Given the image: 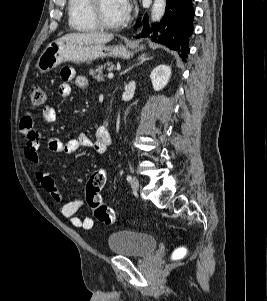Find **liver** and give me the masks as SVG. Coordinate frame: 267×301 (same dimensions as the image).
Instances as JSON below:
<instances>
[{"label": "liver", "instance_id": "1", "mask_svg": "<svg viewBox=\"0 0 267 301\" xmlns=\"http://www.w3.org/2000/svg\"><path fill=\"white\" fill-rule=\"evenodd\" d=\"M113 38L114 36L112 34L101 32L69 33L62 36L57 41H65L77 44H105L110 42Z\"/></svg>", "mask_w": 267, "mask_h": 301}]
</instances>
